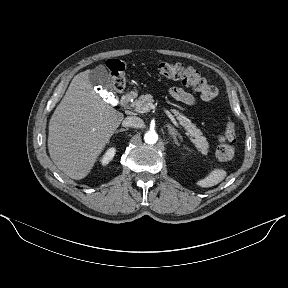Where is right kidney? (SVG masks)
Returning <instances> with one entry per match:
<instances>
[{
    "mask_svg": "<svg viewBox=\"0 0 288 288\" xmlns=\"http://www.w3.org/2000/svg\"><path fill=\"white\" fill-rule=\"evenodd\" d=\"M115 153V148H109L101 159L102 165L108 164L110 160H112V158L114 157Z\"/></svg>",
    "mask_w": 288,
    "mask_h": 288,
    "instance_id": "1",
    "label": "right kidney"
}]
</instances>
